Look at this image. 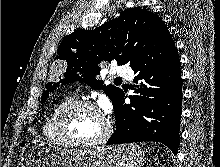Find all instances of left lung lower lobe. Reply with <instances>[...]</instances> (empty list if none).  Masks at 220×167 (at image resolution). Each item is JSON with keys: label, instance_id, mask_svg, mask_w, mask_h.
Segmentation results:
<instances>
[{"label": "left lung lower lobe", "instance_id": "1", "mask_svg": "<svg viewBox=\"0 0 220 167\" xmlns=\"http://www.w3.org/2000/svg\"><path fill=\"white\" fill-rule=\"evenodd\" d=\"M133 70L137 73L132 85L135 95L125 104L123 92L114 104L116 130L106 144L157 141L177 154L182 105L177 49Z\"/></svg>", "mask_w": 220, "mask_h": 167}]
</instances>
